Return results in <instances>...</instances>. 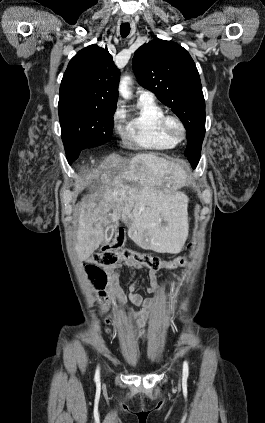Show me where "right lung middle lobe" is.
<instances>
[{
  "instance_id": "right-lung-middle-lobe-1",
  "label": "right lung middle lobe",
  "mask_w": 265,
  "mask_h": 423,
  "mask_svg": "<svg viewBox=\"0 0 265 423\" xmlns=\"http://www.w3.org/2000/svg\"><path fill=\"white\" fill-rule=\"evenodd\" d=\"M61 136L69 164L81 150L102 145L111 140L114 109L80 102H59Z\"/></svg>"
}]
</instances>
